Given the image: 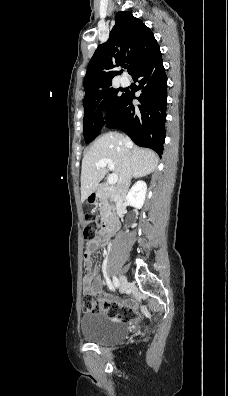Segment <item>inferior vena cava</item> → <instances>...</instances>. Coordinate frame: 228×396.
<instances>
[{
	"label": "inferior vena cava",
	"mask_w": 228,
	"mask_h": 396,
	"mask_svg": "<svg viewBox=\"0 0 228 396\" xmlns=\"http://www.w3.org/2000/svg\"><path fill=\"white\" fill-rule=\"evenodd\" d=\"M126 142L128 143L129 140L126 139ZM130 181H131V170H130V164H129V158L126 157L123 163V168L121 175L119 177L117 186L115 188L114 192V200L119 201L122 200L130 186Z\"/></svg>",
	"instance_id": "602c4592"
}]
</instances>
